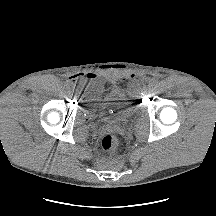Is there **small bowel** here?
Returning a JSON list of instances; mask_svg holds the SVG:
<instances>
[{
	"instance_id": "obj_1",
	"label": "small bowel",
	"mask_w": 216,
	"mask_h": 216,
	"mask_svg": "<svg viewBox=\"0 0 216 216\" xmlns=\"http://www.w3.org/2000/svg\"><path fill=\"white\" fill-rule=\"evenodd\" d=\"M85 77H86V79L88 80L89 84L92 85L91 88H93L94 91L97 90V89L103 88L99 83H97V82L95 81V77H96V76H95L94 74L88 73V74H85ZM70 78H71V81H77L78 78H79V75H74V76H72V77H70ZM140 78H141V77H140L139 75H137V74H131V75L129 76V79L132 80V81H138V80H140Z\"/></svg>"
}]
</instances>
